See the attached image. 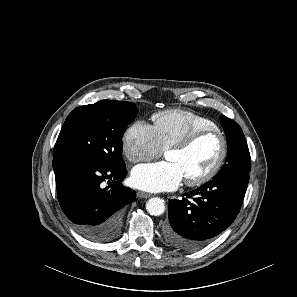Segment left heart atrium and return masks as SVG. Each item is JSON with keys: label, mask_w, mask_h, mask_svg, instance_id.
I'll return each mask as SVG.
<instances>
[{"label": "left heart atrium", "mask_w": 297, "mask_h": 297, "mask_svg": "<svg viewBox=\"0 0 297 297\" xmlns=\"http://www.w3.org/2000/svg\"><path fill=\"white\" fill-rule=\"evenodd\" d=\"M184 180L185 175L181 166L174 161L138 165L130 176L134 187L150 192L174 190Z\"/></svg>", "instance_id": "left-heart-atrium-1"}]
</instances>
